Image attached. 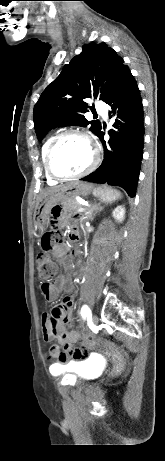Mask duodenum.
Segmentation results:
<instances>
[{"label":"duodenum","mask_w":165,"mask_h":461,"mask_svg":"<svg viewBox=\"0 0 165 461\" xmlns=\"http://www.w3.org/2000/svg\"><path fill=\"white\" fill-rule=\"evenodd\" d=\"M71 239L72 240L78 239V233L76 231L71 234Z\"/></svg>","instance_id":"410a0bca"}]
</instances>
